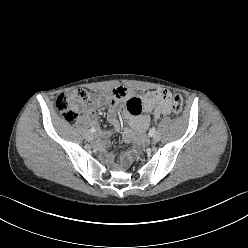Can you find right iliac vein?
Segmentation results:
<instances>
[{
    "mask_svg": "<svg viewBox=\"0 0 248 248\" xmlns=\"http://www.w3.org/2000/svg\"><path fill=\"white\" fill-rule=\"evenodd\" d=\"M85 138H86L87 141H92L94 136H93V134L91 132H87L85 134Z\"/></svg>",
    "mask_w": 248,
    "mask_h": 248,
    "instance_id": "63e3f726",
    "label": "right iliac vein"
}]
</instances>
